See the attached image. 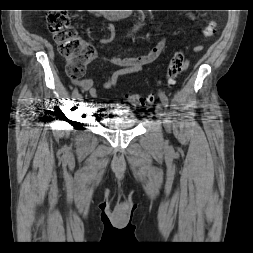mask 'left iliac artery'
Returning a JSON list of instances; mask_svg holds the SVG:
<instances>
[{"label": "left iliac artery", "instance_id": "44dca946", "mask_svg": "<svg viewBox=\"0 0 253 253\" xmlns=\"http://www.w3.org/2000/svg\"><path fill=\"white\" fill-rule=\"evenodd\" d=\"M160 100L164 106H167L168 104V98L164 93L159 94Z\"/></svg>", "mask_w": 253, "mask_h": 253}]
</instances>
